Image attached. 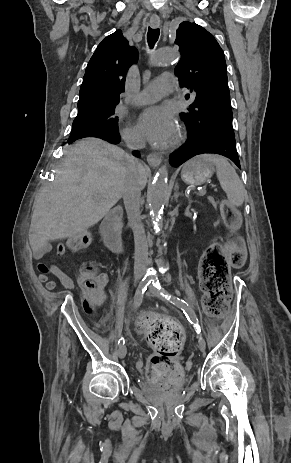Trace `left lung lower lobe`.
<instances>
[{
	"label": "left lung lower lobe",
	"instance_id": "0a47b994",
	"mask_svg": "<svg viewBox=\"0 0 291 463\" xmlns=\"http://www.w3.org/2000/svg\"><path fill=\"white\" fill-rule=\"evenodd\" d=\"M185 144L170 156V164L178 167L188 159L200 154H216L231 159L240 169L234 136L214 131L189 130Z\"/></svg>",
	"mask_w": 291,
	"mask_h": 463
}]
</instances>
